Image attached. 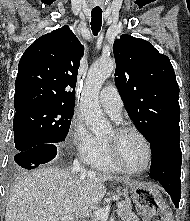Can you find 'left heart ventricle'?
<instances>
[{
  "instance_id": "obj_1",
  "label": "left heart ventricle",
  "mask_w": 190,
  "mask_h": 221,
  "mask_svg": "<svg viewBox=\"0 0 190 221\" xmlns=\"http://www.w3.org/2000/svg\"><path fill=\"white\" fill-rule=\"evenodd\" d=\"M105 140H116L120 158L126 167L138 170L145 166L147 150L141 138L135 133L128 132L116 137L113 129Z\"/></svg>"
}]
</instances>
